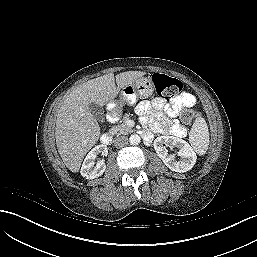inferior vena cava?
Masks as SVG:
<instances>
[{
  "instance_id": "1",
  "label": "inferior vena cava",
  "mask_w": 257,
  "mask_h": 257,
  "mask_svg": "<svg viewBox=\"0 0 257 257\" xmlns=\"http://www.w3.org/2000/svg\"><path fill=\"white\" fill-rule=\"evenodd\" d=\"M128 144V137L127 136H119L114 140V145L117 148L124 147Z\"/></svg>"
}]
</instances>
